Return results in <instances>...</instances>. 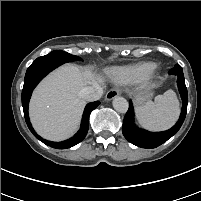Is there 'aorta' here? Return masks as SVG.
<instances>
[{
    "mask_svg": "<svg viewBox=\"0 0 201 201\" xmlns=\"http://www.w3.org/2000/svg\"><path fill=\"white\" fill-rule=\"evenodd\" d=\"M113 107L117 112L126 113L128 110V101L123 97H115L113 99Z\"/></svg>",
    "mask_w": 201,
    "mask_h": 201,
    "instance_id": "1",
    "label": "aorta"
}]
</instances>
